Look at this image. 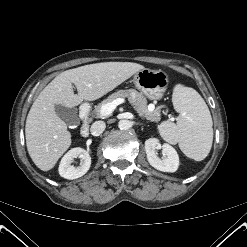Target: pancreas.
Here are the masks:
<instances>
[{
	"label": "pancreas",
	"mask_w": 247,
	"mask_h": 247,
	"mask_svg": "<svg viewBox=\"0 0 247 247\" xmlns=\"http://www.w3.org/2000/svg\"><path fill=\"white\" fill-rule=\"evenodd\" d=\"M117 98H128L129 102L132 104L134 109L139 113L140 116L149 117L152 119L156 118L155 112H150L148 110L146 98L135 89L119 90L110 96L107 99L103 100L99 105L95 107L94 113L97 117H101L100 109L103 105L111 103Z\"/></svg>",
	"instance_id": "obj_1"
}]
</instances>
